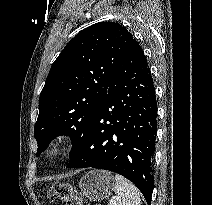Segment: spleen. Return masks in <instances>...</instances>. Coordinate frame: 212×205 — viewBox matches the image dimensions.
Instances as JSON below:
<instances>
[{"instance_id":"3e777b00","label":"spleen","mask_w":212,"mask_h":205,"mask_svg":"<svg viewBox=\"0 0 212 205\" xmlns=\"http://www.w3.org/2000/svg\"><path fill=\"white\" fill-rule=\"evenodd\" d=\"M113 179L115 196L109 200L108 205H140V192L132 182L119 174Z\"/></svg>"}]
</instances>
